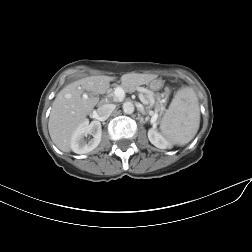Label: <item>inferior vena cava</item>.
Masks as SVG:
<instances>
[{
  "label": "inferior vena cava",
  "instance_id": "inferior-vena-cava-1",
  "mask_svg": "<svg viewBox=\"0 0 252 252\" xmlns=\"http://www.w3.org/2000/svg\"><path fill=\"white\" fill-rule=\"evenodd\" d=\"M114 109H115L114 104H103L98 107L97 113L100 118L107 119L111 115Z\"/></svg>",
  "mask_w": 252,
  "mask_h": 252
}]
</instances>
